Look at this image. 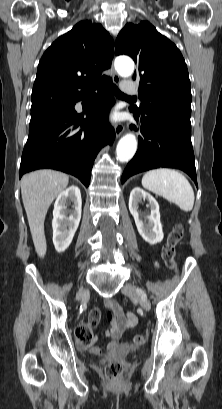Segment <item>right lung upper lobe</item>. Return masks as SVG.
Returning <instances> with one entry per match:
<instances>
[{
  "instance_id": "1",
  "label": "right lung upper lobe",
  "mask_w": 222,
  "mask_h": 409,
  "mask_svg": "<svg viewBox=\"0 0 222 409\" xmlns=\"http://www.w3.org/2000/svg\"><path fill=\"white\" fill-rule=\"evenodd\" d=\"M114 41L101 24L81 21L43 54L33 85L32 107L52 106L87 98L110 68ZM31 107V108H32Z\"/></svg>"
}]
</instances>
